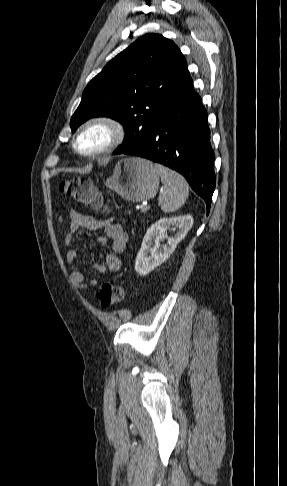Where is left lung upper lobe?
Listing matches in <instances>:
<instances>
[{"instance_id":"obj_1","label":"left lung upper lobe","mask_w":287,"mask_h":486,"mask_svg":"<svg viewBox=\"0 0 287 486\" xmlns=\"http://www.w3.org/2000/svg\"><path fill=\"white\" fill-rule=\"evenodd\" d=\"M191 80L186 60L172 41L144 35L89 82L71 118L72 132L91 117L106 116L119 121L126 132L114 154L140 146Z\"/></svg>"}]
</instances>
